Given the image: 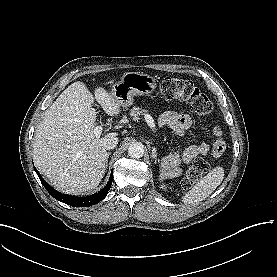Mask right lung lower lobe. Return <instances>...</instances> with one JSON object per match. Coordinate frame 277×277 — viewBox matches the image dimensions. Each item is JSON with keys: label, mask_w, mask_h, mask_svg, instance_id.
I'll use <instances>...</instances> for the list:
<instances>
[{"label": "right lung lower lobe", "mask_w": 277, "mask_h": 277, "mask_svg": "<svg viewBox=\"0 0 277 277\" xmlns=\"http://www.w3.org/2000/svg\"><path fill=\"white\" fill-rule=\"evenodd\" d=\"M41 183L43 184V186L47 189V191L57 200L66 203L68 205L71 206H75V207H88L94 204H97L98 202L102 201L110 187L112 184V179H113V172H111L110 175V179L107 183V185L98 193L92 194L90 196H86V197H75V196H71V195H65L62 194L58 191H56L54 188H52L40 175V173L37 171V169L34 167Z\"/></svg>", "instance_id": "1"}]
</instances>
